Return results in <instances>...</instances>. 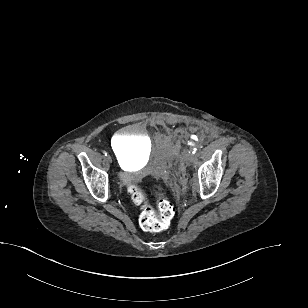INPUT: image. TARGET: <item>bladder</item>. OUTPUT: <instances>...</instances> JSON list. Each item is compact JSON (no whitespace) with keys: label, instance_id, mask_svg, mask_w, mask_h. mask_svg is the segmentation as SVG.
Returning a JSON list of instances; mask_svg holds the SVG:
<instances>
[{"label":"bladder","instance_id":"obj_1","mask_svg":"<svg viewBox=\"0 0 308 308\" xmlns=\"http://www.w3.org/2000/svg\"><path fill=\"white\" fill-rule=\"evenodd\" d=\"M111 148L120 167L129 168L144 163L151 153V141L140 125L120 129L112 138Z\"/></svg>","mask_w":308,"mask_h":308}]
</instances>
